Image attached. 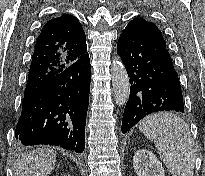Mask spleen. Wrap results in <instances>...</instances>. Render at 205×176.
Wrapping results in <instances>:
<instances>
[{"mask_svg": "<svg viewBox=\"0 0 205 176\" xmlns=\"http://www.w3.org/2000/svg\"><path fill=\"white\" fill-rule=\"evenodd\" d=\"M140 131L156 143L160 158L172 176H193L195 143L189 126L178 115L161 112L143 119Z\"/></svg>", "mask_w": 205, "mask_h": 176, "instance_id": "obj_1", "label": "spleen"}]
</instances>
